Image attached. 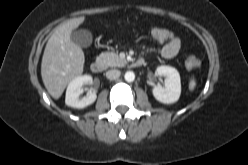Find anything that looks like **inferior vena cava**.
<instances>
[{"label": "inferior vena cava", "instance_id": "obj_1", "mask_svg": "<svg viewBox=\"0 0 248 165\" xmlns=\"http://www.w3.org/2000/svg\"><path fill=\"white\" fill-rule=\"evenodd\" d=\"M120 71L117 70V69H112V70H108L106 72V77L109 79V80H115L117 79L119 76H120Z\"/></svg>", "mask_w": 248, "mask_h": 165}]
</instances>
